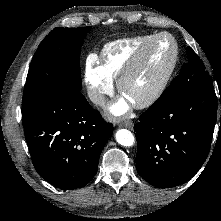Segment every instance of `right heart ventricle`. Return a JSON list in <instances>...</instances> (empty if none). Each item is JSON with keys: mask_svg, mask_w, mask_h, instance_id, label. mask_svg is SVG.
<instances>
[{"mask_svg": "<svg viewBox=\"0 0 221 221\" xmlns=\"http://www.w3.org/2000/svg\"><path fill=\"white\" fill-rule=\"evenodd\" d=\"M153 36V34L140 35L106 44L100 55V67L104 74L112 81L117 80L140 48Z\"/></svg>", "mask_w": 221, "mask_h": 221, "instance_id": "right-heart-ventricle-1", "label": "right heart ventricle"}]
</instances>
